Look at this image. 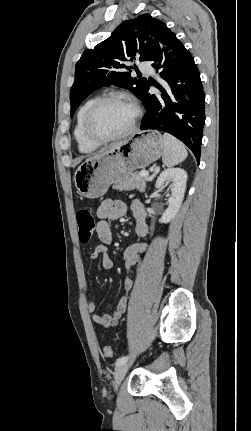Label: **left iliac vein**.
I'll use <instances>...</instances> for the list:
<instances>
[{"instance_id": "4c4485c4", "label": "left iliac vein", "mask_w": 251, "mask_h": 431, "mask_svg": "<svg viewBox=\"0 0 251 431\" xmlns=\"http://www.w3.org/2000/svg\"><path fill=\"white\" fill-rule=\"evenodd\" d=\"M129 368V364L128 363H124L122 365H119L114 373V389L117 390L119 387V384L122 382V380L124 379L127 371Z\"/></svg>"}]
</instances>
